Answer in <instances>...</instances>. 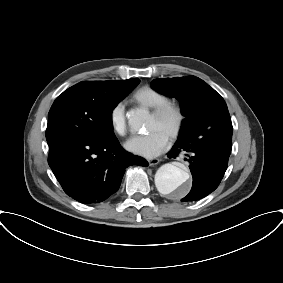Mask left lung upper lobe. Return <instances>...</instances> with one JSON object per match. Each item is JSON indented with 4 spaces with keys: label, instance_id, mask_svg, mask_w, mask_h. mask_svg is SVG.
Listing matches in <instances>:
<instances>
[{
    "label": "left lung upper lobe",
    "instance_id": "1",
    "mask_svg": "<svg viewBox=\"0 0 283 283\" xmlns=\"http://www.w3.org/2000/svg\"><path fill=\"white\" fill-rule=\"evenodd\" d=\"M152 88L181 101L182 121L179 137L193 130L198 142L215 152L231 153L233 127L224 99L195 76L154 79Z\"/></svg>",
    "mask_w": 283,
    "mask_h": 283
}]
</instances>
